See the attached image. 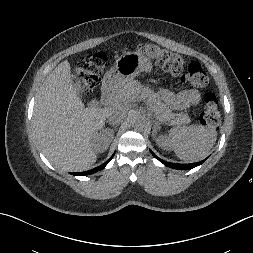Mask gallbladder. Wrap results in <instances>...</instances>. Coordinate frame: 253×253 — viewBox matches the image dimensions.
<instances>
[{
  "label": "gallbladder",
  "mask_w": 253,
  "mask_h": 253,
  "mask_svg": "<svg viewBox=\"0 0 253 253\" xmlns=\"http://www.w3.org/2000/svg\"><path fill=\"white\" fill-rule=\"evenodd\" d=\"M75 88L78 92H82V85H81V82L79 80L76 81ZM96 104H97L96 101H92V102L89 103V105H93V106L96 105Z\"/></svg>",
  "instance_id": "bac80fb5"
}]
</instances>
